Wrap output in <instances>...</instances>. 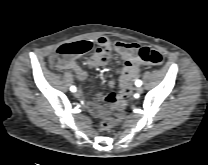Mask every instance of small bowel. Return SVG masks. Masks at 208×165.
<instances>
[{"label":"small bowel","instance_id":"small-bowel-1","mask_svg":"<svg viewBox=\"0 0 208 165\" xmlns=\"http://www.w3.org/2000/svg\"><path fill=\"white\" fill-rule=\"evenodd\" d=\"M86 42L91 44L89 41ZM94 42L98 45V48H96L88 63L93 67H103L111 61L113 51L120 53L125 61V66L119 76L120 86L130 89L131 81L138 75L139 67L142 63L138 55L139 45L122 41L112 42L105 36L96 38ZM60 68L73 71L80 80H84L87 77V71L74 58L61 63ZM113 85L114 83L110 82V86ZM120 98L119 91L110 90L106 95L105 101L109 104H116ZM106 111L107 109L104 107H94V113L97 115L105 114Z\"/></svg>","mask_w":208,"mask_h":165}]
</instances>
